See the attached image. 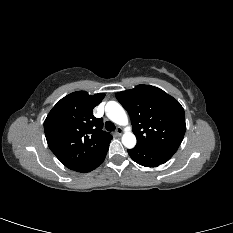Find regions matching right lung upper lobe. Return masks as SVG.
Wrapping results in <instances>:
<instances>
[{
	"label": "right lung upper lobe",
	"mask_w": 233,
	"mask_h": 233,
	"mask_svg": "<svg viewBox=\"0 0 233 233\" xmlns=\"http://www.w3.org/2000/svg\"><path fill=\"white\" fill-rule=\"evenodd\" d=\"M104 96L73 92L62 98L45 119L49 148L71 170L82 172L109 147L112 136L101 130L103 120L93 115V108Z\"/></svg>",
	"instance_id": "cb5924a9"
}]
</instances>
